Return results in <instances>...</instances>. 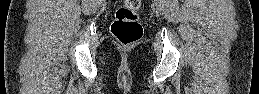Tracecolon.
Instances as JSON below:
<instances>
[{
    "instance_id": "5ec220e1",
    "label": "colon",
    "mask_w": 259,
    "mask_h": 94,
    "mask_svg": "<svg viewBox=\"0 0 259 94\" xmlns=\"http://www.w3.org/2000/svg\"><path fill=\"white\" fill-rule=\"evenodd\" d=\"M140 6V0H125L124 5L115 12L111 32L122 45L134 44L142 36L143 29L138 15Z\"/></svg>"
}]
</instances>
